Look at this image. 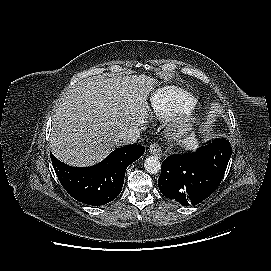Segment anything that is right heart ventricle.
Here are the masks:
<instances>
[{"label": "right heart ventricle", "mask_w": 271, "mask_h": 271, "mask_svg": "<svg viewBox=\"0 0 271 271\" xmlns=\"http://www.w3.org/2000/svg\"><path fill=\"white\" fill-rule=\"evenodd\" d=\"M149 104L155 118L169 120L191 112L197 105V100L183 89L167 86L156 90L150 96Z\"/></svg>", "instance_id": "e07e8e85"}]
</instances>
